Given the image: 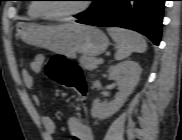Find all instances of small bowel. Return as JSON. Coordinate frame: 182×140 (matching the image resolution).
Returning a JSON list of instances; mask_svg holds the SVG:
<instances>
[{
    "label": "small bowel",
    "mask_w": 182,
    "mask_h": 140,
    "mask_svg": "<svg viewBox=\"0 0 182 140\" xmlns=\"http://www.w3.org/2000/svg\"><path fill=\"white\" fill-rule=\"evenodd\" d=\"M44 63L45 57L39 54L30 62L29 69L23 70L22 79L27 88H32L33 74L40 73ZM32 100L36 105H40V98L37 95H34ZM40 120L48 140H54V134L56 132V124L54 120L45 114L41 115ZM67 126L73 140H94L91 129L83 124L77 117H70Z\"/></svg>",
    "instance_id": "1"
}]
</instances>
